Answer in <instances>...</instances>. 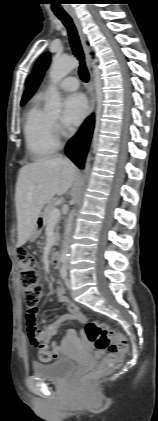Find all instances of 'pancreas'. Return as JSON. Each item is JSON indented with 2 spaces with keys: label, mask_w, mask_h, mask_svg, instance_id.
I'll list each match as a JSON object with an SVG mask.
<instances>
[{
  "label": "pancreas",
  "mask_w": 158,
  "mask_h": 421,
  "mask_svg": "<svg viewBox=\"0 0 158 421\" xmlns=\"http://www.w3.org/2000/svg\"><path fill=\"white\" fill-rule=\"evenodd\" d=\"M56 208V203L54 201H50L48 202V204L44 207L43 210V221H44V225H47V223L50 221V213L51 211ZM59 218L57 220H55V238L56 240H58L59 237V227H58V223H59Z\"/></svg>",
  "instance_id": "1"
}]
</instances>
